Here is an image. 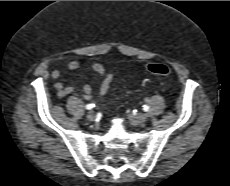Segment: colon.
Masks as SVG:
<instances>
[{"label": "colon", "instance_id": "5ec220e1", "mask_svg": "<svg viewBox=\"0 0 230 186\" xmlns=\"http://www.w3.org/2000/svg\"><path fill=\"white\" fill-rule=\"evenodd\" d=\"M146 70L152 74L160 76H168L171 73L170 68L162 63H148L146 65Z\"/></svg>", "mask_w": 230, "mask_h": 186}]
</instances>
